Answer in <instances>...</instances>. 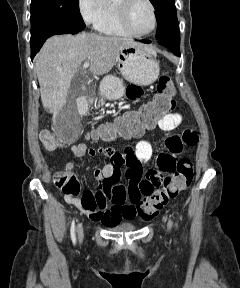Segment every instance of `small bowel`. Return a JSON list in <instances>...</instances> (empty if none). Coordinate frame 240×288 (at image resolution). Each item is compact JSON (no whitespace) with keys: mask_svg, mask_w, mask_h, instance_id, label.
<instances>
[{"mask_svg":"<svg viewBox=\"0 0 240 288\" xmlns=\"http://www.w3.org/2000/svg\"><path fill=\"white\" fill-rule=\"evenodd\" d=\"M143 94L141 87L129 85L125 96L129 100L140 98ZM183 121V116L178 112L166 114L157 125L166 132L176 130ZM143 130H139L126 137H140ZM93 137H101L105 140L111 138V134L101 129L93 134ZM199 141V135L195 129H184L179 134H173L166 138L165 146L168 152L161 153L157 159V168L143 174V166L152 156V147L149 142L141 140L135 148H129L124 153L117 152L112 147H100L98 150L88 147L85 143L72 145L70 150L75 157H83L86 154L95 156L99 153L109 158V163L101 169L94 171V177L98 181L95 193L88 191L81 198L66 195L70 204L80 209L91 220L101 222L106 226L118 224L121 220L135 218L134 206L129 200L131 192L139 197L148 196L153 189L163 183L166 174L175 170L177 159L184 146H194ZM126 167L125 175L128 185L120 184L121 168ZM65 171L73 175L75 164L69 161L64 166Z\"/></svg>","mask_w":240,"mask_h":288,"instance_id":"small-bowel-1","label":"small bowel"}]
</instances>
